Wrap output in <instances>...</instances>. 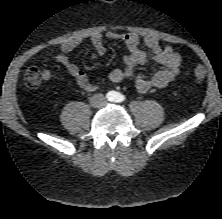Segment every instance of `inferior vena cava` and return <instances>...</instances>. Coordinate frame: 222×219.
Wrapping results in <instances>:
<instances>
[{
  "mask_svg": "<svg viewBox=\"0 0 222 219\" xmlns=\"http://www.w3.org/2000/svg\"><path fill=\"white\" fill-rule=\"evenodd\" d=\"M105 102V98L102 94H95L91 98V104L94 106L102 105Z\"/></svg>",
  "mask_w": 222,
  "mask_h": 219,
  "instance_id": "602c4592",
  "label": "inferior vena cava"
}]
</instances>
